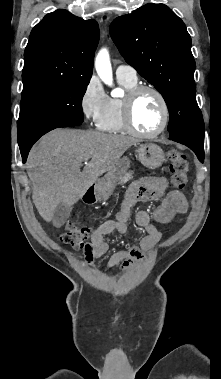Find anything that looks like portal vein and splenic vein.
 Returning a JSON list of instances; mask_svg holds the SVG:
<instances>
[{
    "label": "portal vein and splenic vein",
    "mask_w": 221,
    "mask_h": 379,
    "mask_svg": "<svg viewBox=\"0 0 221 379\" xmlns=\"http://www.w3.org/2000/svg\"><path fill=\"white\" fill-rule=\"evenodd\" d=\"M88 159L85 160V163L87 164Z\"/></svg>",
    "instance_id": "18ae733b"
}]
</instances>
